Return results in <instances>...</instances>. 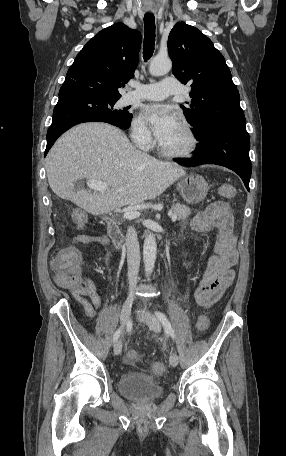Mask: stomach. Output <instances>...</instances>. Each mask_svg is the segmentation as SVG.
I'll use <instances>...</instances> for the list:
<instances>
[{"label": "stomach", "instance_id": "obj_1", "mask_svg": "<svg viewBox=\"0 0 286 456\" xmlns=\"http://www.w3.org/2000/svg\"><path fill=\"white\" fill-rule=\"evenodd\" d=\"M177 188L183 200L188 204H198L207 196L209 186L200 175H187L177 183Z\"/></svg>", "mask_w": 286, "mask_h": 456}]
</instances>
